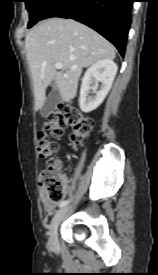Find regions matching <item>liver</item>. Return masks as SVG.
<instances>
[{
	"label": "liver",
	"mask_w": 158,
	"mask_h": 275,
	"mask_svg": "<svg viewBox=\"0 0 158 275\" xmlns=\"http://www.w3.org/2000/svg\"><path fill=\"white\" fill-rule=\"evenodd\" d=\"M27 59L34 86L35 110L42 108L52 82L62 99L70 102L77 93L83 68L103 59H114L115 49L96 31L73 19L49 18L25 38ZM62 63L56 71L55 63ZM74 68V69H72Z\"/></svg>",
	"instance_id": "obj_1"
}]
</instances>
